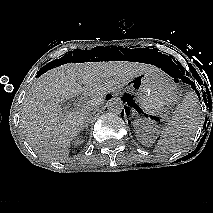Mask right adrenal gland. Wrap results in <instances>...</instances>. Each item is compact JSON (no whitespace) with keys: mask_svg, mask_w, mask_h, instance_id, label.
<instances>
[{"mask_svg":"<svg viewBox=\"0 0 213 213\" xmlns=\"http://www.w3.org/2000/svg\"><path fill=\"white\" fill-rule=\"evenodd\" d=\"M88 126H89V123L86 122L85 125L83 126L82 130L85 128L86 130H88Z\"/></svg>","mask_w":213,"mask_h":213,"instance_id":"1","label":"right adrenal gland"}]
</instances>
